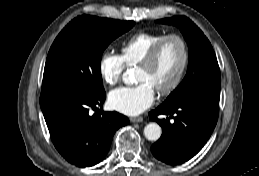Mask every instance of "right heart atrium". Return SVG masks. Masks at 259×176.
Masks as SVG:
<instances>
[{
  "instance_id": "obj_1",
  "label": "right heart atrium",
  "mask_w": 259,
  "mask_h": 176,
  "mask_svg": "<svg viewBox=\"0 0 259 176\" xmlns=\"http://www.w3.org/2000/svg\"><path fill=\"white\" fill-rule=\"evenodd\" d=\"M125 70V64L120 55L112 52H104L98 62V72L107 85L113 86L119 83Z\"/></svg>"
}]
</instances>
